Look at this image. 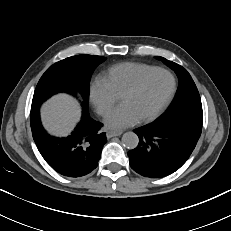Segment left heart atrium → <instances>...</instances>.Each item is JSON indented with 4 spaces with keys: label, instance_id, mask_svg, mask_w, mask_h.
<instances>
[{
    "label": "left heart atrium",
    "instance_id": "1",
    "mask_svg": "<svg viewBox=\"0 0 231 231\" xmlns=\"http://www.w3.org/2000/svg\"><path fill=\"white\" fill-rule=\"evenodd\" d=\"M139 120L130 106L122 104L105 118V125L110 129H123L134 125Z\"/></svg>",
    "mask_w": 231,
    "mask_h": 231
}]
</instances>
